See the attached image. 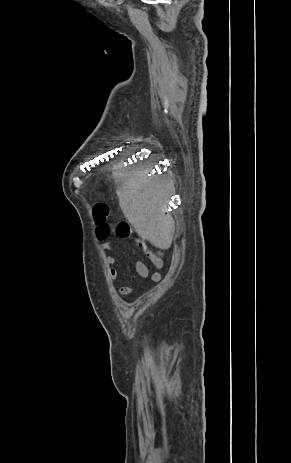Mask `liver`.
<instances>
[{
    "instance_id": "liver-1",
    "label": "liver",
    "mask_w": 291,
    "mask_h": 463,
    "mask_svg": "<svg viewBox=\"0 0 291 463\" xmlns=\"http://www.w3.org/2000/svg\"><path fill=\"white\" fill-rule=\"evenodd\" d=\"M112 176L121 183L116 191L119 205L137 234L159 249H168L175 230L173 218L165 214L171 183L149 176L147 170L123 166L115 168Z\"/></svg>"
}]
</instances>
